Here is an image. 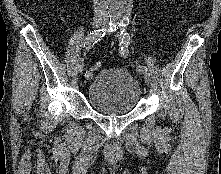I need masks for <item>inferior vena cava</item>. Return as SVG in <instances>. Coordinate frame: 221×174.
Listing matches in <instances>:
<instances>
[{"label": "inferior vena cava", "instance_id": "inferior-vena-cava-1", "mask_svg": "<svg viewBox=\"0 0 221 174\" xmlns=\"http://www.w3.org/2000/svg\"><path fill=\"white\" fill-rule=\"evenodd\" d=\"M94 15L96 17H108V8L105 0H93Z\"/></svg>", "mask_w": 221, "mask_h": 174}]
</instances>
